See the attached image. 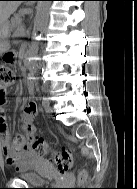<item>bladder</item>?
<instances>
[{
    "label": "bladder",
    "mask_w": 137,
    "mask_h": 189,
    "mask_svg": "<svg viewBox=\"0 0 137 189\" xmlns=\"http://www.w3.org/2000/svg\"><path fill=\"white\" fill-rule=\"evenodd\" d=\"M20 172V178L28 184L40 185L55 174V168L48 159H39L34 165H28Z\"/></svg>",
    "instance_id": "bladder-1"
}]
</instances>
